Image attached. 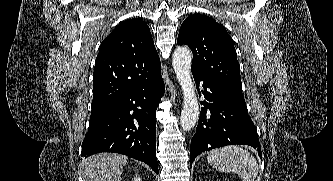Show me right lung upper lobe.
<instances>
[{
	"label": "right lung upper lobe",
	"instance_id": "1",
	"mask_svg": "<svg viewBox=\"0 0 333 181\" xmlns=\"http://www.w3.org/2000/svg\"><path fill=\"white\" fill-rule=\"evenodd\" d=\"M159 78L160 59L149 27L139 19L124 21L101 43L93 73L92 110Z\"/></svg>",
	"mask_w": 333,
	"mask_h": 181
}]
</instances>
